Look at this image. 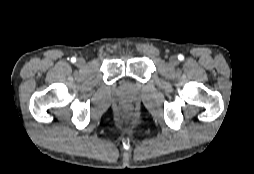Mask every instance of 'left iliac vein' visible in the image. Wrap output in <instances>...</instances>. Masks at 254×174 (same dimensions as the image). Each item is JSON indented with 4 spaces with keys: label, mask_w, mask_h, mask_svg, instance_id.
Returning <instances> with one entry per match:
<instances>
[{
    "label": "left iliac vein",
    "mask_w": 254,
    "mask_h": 174,
    "mask_svg": "<svg viewBox=\"0 0 254 174\" xmlns=\"http://www.w3.org/2000/svg\"><path fill=\"white\" fill-rule=\"evenodd\" d=\"M169 62H170L171 65H177L179 63L176 56H171L170 59H169Z\"/></svg>",
    "instance_id": "left-iliac-vein-1"
}]
</instances>
